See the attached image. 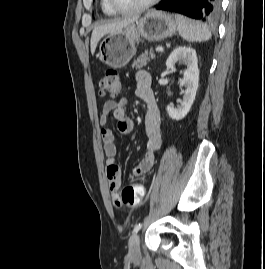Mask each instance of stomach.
I'll list each match as a JSON object with an SVG mask.
<instances>
[{
	"label": "stomach",
	"mask_w": 265,
	"mask_h": 269,
	"mask_svg": "<svg viewBox=\"0 0 265 269\" xmlns=\"http://www.w3.org/2000/svg\"><path fill=\"white\" fill-rule=\"evenodd\" d=\"M176 26L172 15L151 10L120 32L108 33L99 45L100 59L110 67H124L135 55V44L140 38L160 41L173 36Z\"/></svg>",
	"instance_id": "1"
}]
</instances>
